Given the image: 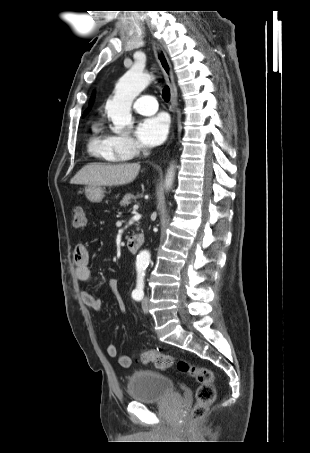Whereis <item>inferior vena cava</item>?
Instances as JSON below:
<instances>
[{
	"label": "inferior vena cava",
	"instance_id": "602c4592",
	"mask_svg": "<svg viewBox=\"0 0 310 453\" xmlns=\"http://www.w3.org/2000/svg\"><path fill=\"white\" fill-rule=\"evenodd\" d=\"M148 154H149V152H148L147 150H143V155L146 156V155H148Z\"/></svg>",
	"mask_w": 310,
	"mask_h": 453
}]
</instances>
